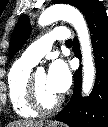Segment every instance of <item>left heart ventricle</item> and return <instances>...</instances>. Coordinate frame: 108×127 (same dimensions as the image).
<instances>
[{"instance_id": "b2bd125f", "label": "left heart ventricle", "mask_w": 108, "mask_h": 127, "mask_svg": "<svg viewBox=\"0 0 108 127\" xmlns=\"http://www.w3.org/2000/svg\"><path fill=\"white\" fill-rule=\"evenodd\" d=\"M35 81L39 95L44 103L50 104L58 98V95L54 94L47 85V75L44 72H38L35 74Z\"/></svg>"}]
</instances>
